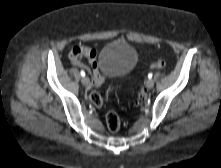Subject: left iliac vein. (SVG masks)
<instances>
[{"label":"left iliac vein","mask_w":221,"mask_h":168,"mask_svg":"<svg viewBox=\"0 0 221 168\" xmlns=\"http://www.w3.org/2000/svg\"><path fill=\"white\" fill-rule=\"evenodd\" d=\"M154 86V81L152 79H149L146 81V87L147 88H152Z\"/></svg>","instance_id":"obj_1"}]
</instances>
